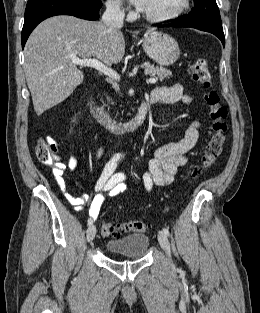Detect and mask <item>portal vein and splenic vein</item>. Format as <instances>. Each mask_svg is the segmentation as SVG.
I'll return each instance as SVG.
<instances>
[{"label":"portal vein and splenic vein","instance_id":"portal-vein-and-splenic-vein-1","mask_svg":"<svg viewBox=\"0 0 260 313\" xmlns=\"http://www.w3.org/2000/svg\"><path fill=\"white\" fill-rule=\"evenodd\" d=\"M71 61H72V63H74L76 65L92 67V68L104 73L105 75L109 76L112 79L117 80L120 78L116 71L107 67L106 65H104L102 62H100L97 59H90V58L89 59H80L78 57H71ZM148 82L151 84H155L157 82V80L155 78H150V79H148Z\"/></svg>","mask_w":260,"mask_h":313}]
</instances>
